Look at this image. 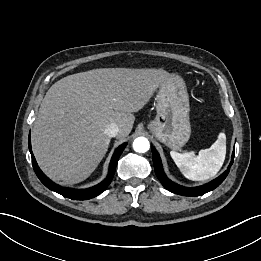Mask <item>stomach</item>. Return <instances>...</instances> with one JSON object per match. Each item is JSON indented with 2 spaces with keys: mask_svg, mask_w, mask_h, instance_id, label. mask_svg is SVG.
I'll use <instances>...</instances> for the list:
<instances>
[{
  "mask_svg": "<svg viewBox=\"0 0 261 261\" xmlns=\"http://www.w3.org/2000/svg\"><path fill=\"white\" fill-rule=\"evenodd\" d=\"M157 114L148 129L172 150L182 148L190 138L189 98L183 79H171L159 87L156 96Z\"/></svg>",
  "mask_w": 261,
  "mask_h": 261,
  "instance_id": "1",
  "label": "stomach"
}]
</instances>
